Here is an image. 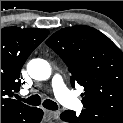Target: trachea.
<instances>
[{
	"mask_svg": "<svg viewBox=\"0 0 123 123\" xmlns=\"http://www.w3.org/2000/svg\"><path fill=\"white\" fill-rule=\"evenodd\" d=\"M20 100H22L23 102L29 104V105H33V106H39L41 104V97L39 95H32L28 98H20ZM42 105L49 110H57L58 109V105L57 103H55L54 101L50 100V99H46L43 101Z\"/></svg>",
	"mask_w": 123,
	"mask_h": 123,
	"instance_id": "obj_1",
	"label": "trachea"
}]
</instances>
